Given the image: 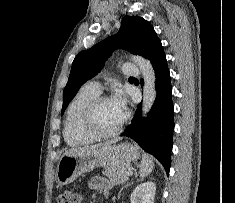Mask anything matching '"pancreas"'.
<instances>
[{"mask_svg":"<svg viewBox=\"0 0 235 203\" xmlns=\"http://www.w3.org/2000/svg\"><path fill=\"white\" fill-rule=\"evenodd\" d=\"M131 170L130 164L106 167L103 174L107 176L112 184L124 183L127 179V172Z\"/></svg>","mask_w":235,"mask_h":203,"instance_id":"obj_1","label":"pancreas"}]
</instances>
